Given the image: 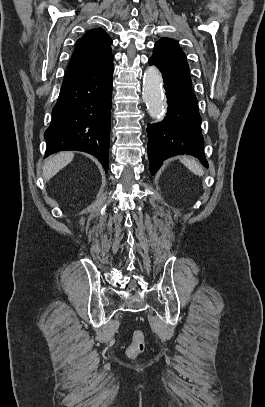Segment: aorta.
Here are the masks:
<instances>
[{
    "label": "aorta",
    "mask_w": 265,
    "mask_h": 407,
    "mask_svg": "<svg viewBox=\"0 0 265 407\" xmlns=\"http://www.w3.org/2000/svg\"><path fill=\"white\" fill-rule=\"evenodd\" d=\"M142 99L147 106V111L153 119H160L166 110L162 88V75L157 67L150 66L146 69L143 78Z\"/></svg>",
    "instance_id": "1"
}]
</instances>
